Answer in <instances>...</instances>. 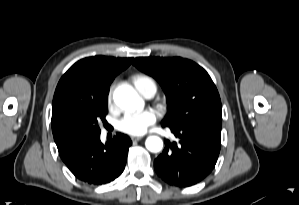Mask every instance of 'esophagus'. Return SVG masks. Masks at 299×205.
Wrapping results in <instances>:
<instances>
[{"label": "esophagus", "instance_id": "34e87169", "mask_svg": "<svg viewBox=\"0 0 299 205\" xmlns=\"http://www.w3.org/2000/svg\"><path fill=\"white\" fill-rule=\"evenodd\" d=\"M143 137H141V136H131V140L133 141V142H135V141H139V140H141Z\"/></svg>", "mask_w": 299, "mask_h": 205}]
</instances>
